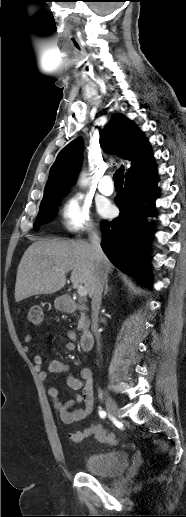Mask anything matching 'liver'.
<instances>
[{
	"instance_id": "obj_1",
	"label": "liver",
	"mask_w": 186,
	"mask_h": 517,
	"mask_svg": "<svg viewBox=\"0 0 186 517\" xmlns=\"http://www.w3.org/2000/svg\"><path fill=\"white\" fill-rule=\"evenodd\" d=\"M102 265L106 272L113 265L104 256ZM97 268L91 244L83 240H38L25 251L17 269L15 301L20 302L38 294H51L66 284V274L74 286L84 285L93 296V283Z\"/></svg>"
}]
</instances>
